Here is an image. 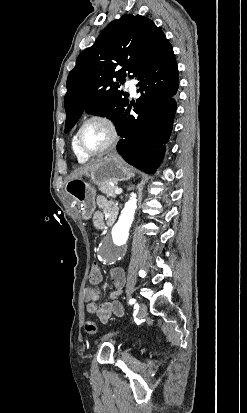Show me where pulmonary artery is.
Here are the masks:
<instances>
[{
  "label": "pulmonary artery",
  "instance_id": "1",
  "mask_svg": "<svg viewBox=\"0 0 247 413\" xmlns=\"http://www.w3.org/2000/svg\"><path fill=\"white\" fill-rule=\"evenodd\" d=\"M125 88H127L128 90H130V92L133 95H136V86H135V82L134 80H132L131 78L127 77L125 80Z\"/></svg>",
  "mask_w": 247,
  "mask_h": 413
}]
</instances>
